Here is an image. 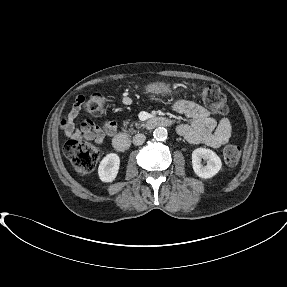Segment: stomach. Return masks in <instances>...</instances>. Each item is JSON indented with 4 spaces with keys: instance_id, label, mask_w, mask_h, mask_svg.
I'll return each instance as SVG.
<instances>
[{
    "instance_id": "1",
    "label": "stomach",
    "mask_w": 287,
    "mask_h": 287,
    "mask_svg": "<svg viewBox=\"0 0 287 287\" xmlns=\"http://www.w3.org/2000/svg\"><path fill=\"white\" fill-rule=\"evenodd\" d=\"M144 92L152 95H170L172 89L169 84L164 82H153L144 87Z\"/></svg>"
}]
</instances>
